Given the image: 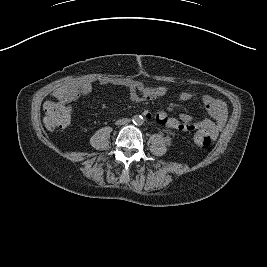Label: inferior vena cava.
I'll return each instance as SVG.
<instances>
[{
	"instance_id": "602c4592",
	"label": "inferior vena cava",
	"mask_w": 267,
	"mask_h": 267,
	"mask_svg": "<svg viewBox=\"0 0 267 267\" xmlns=\"http://www.w3.org/2000/svg\"><path fill=\"white\" fill-rule=\"evenodd\" d=\"M125 122H126V123L129 122V120L127 119Z\"/></svg>"
}]
</instances>
